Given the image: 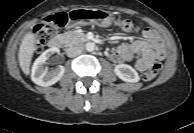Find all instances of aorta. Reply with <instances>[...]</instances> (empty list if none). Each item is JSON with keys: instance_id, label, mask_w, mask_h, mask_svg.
I'll list each match as a JSON object with an SVG mask.
<instances>
[{"instance_id": "762f6f07", "label": "aorta", "mask_w": 194, "mask_h": 133, "mask_svg": "<svg viewBox=\"0 0 194 133\" xmlns=\"http://www.w3.org/2000/svg\"><path fill=\"white\" fill-rule=\"evenodd\" d=\"M85 48L88 52H92L95 50V44L93 42H88L86 45H85Z\"/></svg>"}]
</instances>
